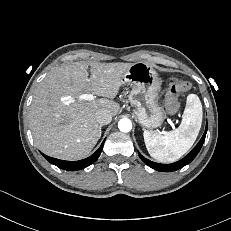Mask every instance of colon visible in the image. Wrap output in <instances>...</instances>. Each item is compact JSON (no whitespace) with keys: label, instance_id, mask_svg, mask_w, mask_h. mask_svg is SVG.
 Segmentation results:
<instances>
[{"label":"colon","instance_id":"5ec220e1","mask_svg":"<svg viewBox=\"0 0 231 231\" xmlns=\"http://www.w3.org/2000/svg\"><path fill=\"white\" fill-rule=\"evenodd\" d=\"M190 89V84L186 81L171 79L168 84L166 94V107L170 112H176L179 108L177 96Z\"/></svg>","mask_w":231,"mask_h":231}]
</instances>
